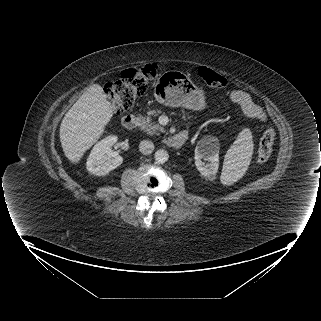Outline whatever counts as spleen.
I'll return each instance as SVG.
<instances>
[{"instance_id":"obj_1","label":"spleen","mask_w":321,"mask_h":321,"mask_svg":"<svg viewBox=\"0 0 321 321\" xmlns=\"http://www.w3.org/2000/svg\"><path fill=\"white\" fill-rule=\"evenodd\" d=\"M253 153V139L249 128H244L228 149L223 164L221 181L230 185L246 172Z\"/></svg>"}]
</instances>
